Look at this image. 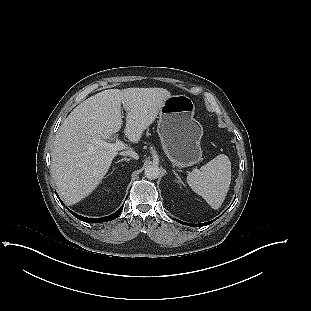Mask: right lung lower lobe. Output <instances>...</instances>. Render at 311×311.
<instances>
[{"mask_svg":"<svg viewBox=\"0 0 311 311\" xmlns=\"http://www.w3.org/2000/svg\"><path fill=\"white\" fill-rule=\"evenodd\" d=\"M57 197L60 200L59 196H57ZM60 202H61V200H60ZM122 210H123V206L116 213H114L110 216H107V217H103V218H86V217L80 216V215L72 212L71 210H69V212H71V214H73L76 218H78L81 221L88 222V223H101V222H107V221H110V220L117 218L121 214Z\"/></svg>","mask_w":311,"mask_h":311,"instance_id":"1","label":"right lung lower lobe"}]
</instances>
